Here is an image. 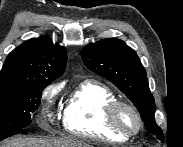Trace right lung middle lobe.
I'll return each instance as SVG.
<instances>
[{
	"label": "right lung middle lobe",
	"mask_w": 183,
	"mask_h": 147,
	"mask_svg": "<svg viewBox=\"0 0 183 147\" xmlns=\"http://www.w3.org/2000/svg\"><path fill=\"white\" fill-rule=\"evenodd\" d=\"M48 83L0 86V138L24 129L31 123V113L40 104L41 93Z\"/></svg>",
	"instance_id": "right-lung-middle-lobe-1"
}]
</instances>
